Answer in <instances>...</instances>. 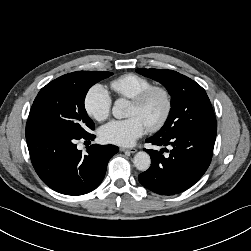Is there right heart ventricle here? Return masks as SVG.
I'll return each instance as SVG.
<instances>
[{
	"label": "right heart ventricle",
	"mask_w": 251,
	"mask_h": 251,
	"mask_svg": "<svg viewBox=\"0 0 251 251\" xmlns=\"http://www.w3.org/2000/svg\"><path fill=\"white\" fill-rule=\"evenodd\" d=\"M151 86V80L135 73L121 75L110 82L111 89L118 97L128 99L134 98Z\"/></svg>",
	"instance_id": "e07e8e85"
}]
</instances>
